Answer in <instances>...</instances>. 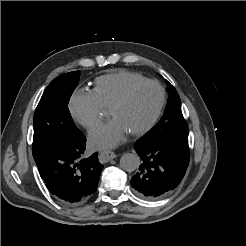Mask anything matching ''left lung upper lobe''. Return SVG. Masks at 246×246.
<instances>
[{"label": "left lung upper lobe", "mask_w": 246, "mask_h": 246, "mask_svg": "<svg viewBox=\"0 0 246 246\" xmlns=\"http://www.w3.org/2000/svg\"><path fill=\"white\" fill-rule=\"evenodd\" d=\"M168 85V102L160 121L144 137L154 140L169 135H188V126L182 115L179 95L175 88Z\"/></svg>", "instance_id": "left-lung-upper-lobe-1"}]
</instances>
